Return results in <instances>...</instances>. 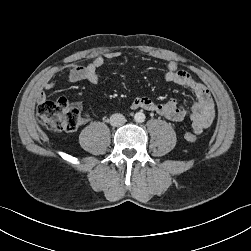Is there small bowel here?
Masks as SVG:
<instances>
[{
    "label": "small bowel",
    "mask_w": 251,
    "mask_h": 251,
    "mask_svg": "<svg viewBox=\"0 0 251 251\" xmlns=\"http://www.w3.org/2000/svg\"><path fill=\"white\" fill-rule=\"evenodd\" d=\"M118 57L117 52H109L104 56L95 57L86 65H73L67 73V81L75 83L79 81H87L97 85L100 82L98 70L105 64L106 59H114ZM165 80L189 89L196 97V101L190 109L181 106L177 99H170L164 103H155L148 97H136L131 107L133 109H144L161 115L171 121L181 122L189 119L192 124V130L196 134H200L204 129L209 127L215 118V105L209 90L200 82L194 80L191 75L178 69L175 61H168L166 64ZM57 85L56 81L46 79L42 82V90H51ZM46 100L43 91L37 94L39 103ZM89 118L88 113L80 116V123H84Z\"/></svg>",
    "instance_id": "1"
}]
</instances>
